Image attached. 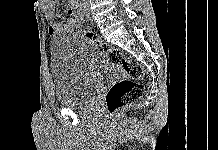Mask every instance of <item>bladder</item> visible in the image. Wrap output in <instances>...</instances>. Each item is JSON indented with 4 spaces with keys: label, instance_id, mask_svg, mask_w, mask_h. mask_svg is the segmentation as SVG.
I'll return each instance as SVG.
<instances>
[{
    "label": "bladder",
    "instance_id": "31cf9c89",
    "mask_svg": "<svg viewBox=\"0 0 218 150\" xmlns=\"http://www.w3.org/2000/svg\"><path fill=\"white\" fill-rule=\"evenodd\" d=\"M52 56L58 70L55 101L65 108L87 106L101 82L115 70V65L98 49L67 33L53 38Z\"/></svg>",
    "mask_w": 218,
    "mask_h": 150
}]
</instances>
